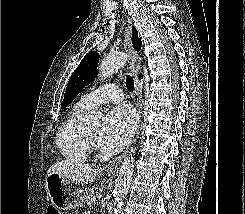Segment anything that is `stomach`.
I'll use <instances>...</instances> for the list:
<instances>
[{
    "label": "stomach",
    "instance_id": "0dacf381",
    "mask_svg": "<svg viewBox=\"0 0 245 214\" xmlns=\"http://www.w3.org/2000/svg\"><path fill=\"white\" fill-rule=\"evenodd\" d=\"M45 187L52 205L58 210L82 207L88 195L84 184L63 177L57 172L46 176Z\"/></svg>",
    "mask_w": 245,
    "mask_h": 214
}]
</instances>
